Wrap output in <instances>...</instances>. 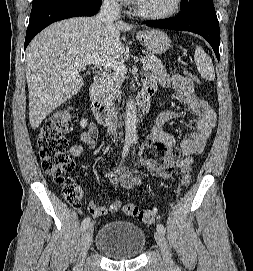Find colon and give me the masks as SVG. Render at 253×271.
<instances>
[{"label": "colon", "instance_id": "obj_1", "mask_svg": "<svg viewBox=\"0 0 253 271\" xmlns=\"http://www.w3.org/2000/svg\"><path fill=\"white\" fill-rule=\"evenodd\" d=\"M187 75L192 76L190 72H187ZM71 118L72 112L68 108L54 112L39 131L37 147L43 171L52 176L57 185L63 187L65 199L70 204L77 205L82 197L81 189L77 184L68 181L74 168V161L68 152V140L65 135ZM190 179V174H184L179 187H187ZM121 208L125 214L136 217L144 224H153L157 220L156 211L143 209L136 204L128 203L122 206L120 201L114 200L109 207L111 212H117Z\"/></svg>", "mask_w": 253, "mask_h": 271}]
</instances>
